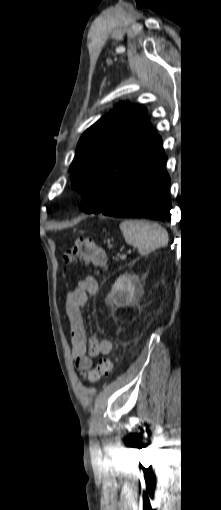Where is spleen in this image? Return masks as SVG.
<instances>
[{"mask_svg":"<svg viewBox=\"0 0 221 510\" xmlns=\"http://www.w3.org/2000/svg\"><path fill=\"white\" fill-rule=\"evenodd\" d=\"M120 229L125 241L136 247L141 255H147L168 243L167 231L145 220H124L120 223Z\"/></svg>","mask_w":221,"mask_h":510,"instance_id":"3e777b00","label":"spleen"}]
</instances>
